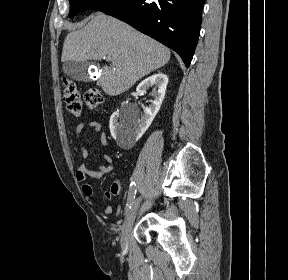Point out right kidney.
Instances as JSON below:
<instances>
[{
  "label": "right kidney",
  "mask_w": 288,
  "mask_h": 280,
  "mask_svg": "<svg viewBox=\"0 0 288 280\" xmlns=\"http://www.w3.org/2000/svg\"><path fill=\"white\" fill-rule=\"evenodd\" d=\"M167 84V75L157 73L146 78L137 86V93L143 95L147 89L154 85L152 90L153 100L149 107H144V114L141 116V119H136L134 115L122 117L118 113L111 116L110 132L120 147L125 149L131 148L149 128L160 109Z\"/></svg>",
  "instance_id": "ca27d5eb"
}]
</instances>
